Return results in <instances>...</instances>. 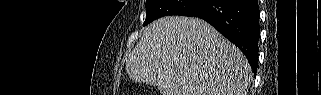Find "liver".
Listing matches in <instances>:
<instances>
[{
  "mask_svg": "<svg viewBox=\"0 0 321 95\" xmlns=\"http://www.w3.org/2000/svg\"><path fill=\"white\" fill-rule=\"evenodd\" d=\"M126 71L162 95H246L253 78L237 47L207 22L182 16L149 24L126 59Z\"/></svg>",
  "mask_w": 321,
  "mask_h": 95,
  "instance_id": "liver-1",
  "label": "liver"
}]
</instances>
